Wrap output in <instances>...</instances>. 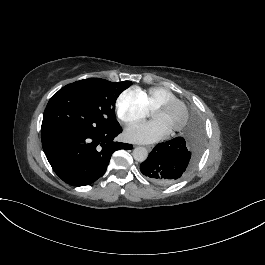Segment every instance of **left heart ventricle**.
<instances>
[{"instance_id": "obj_1", "label": "left heart ventricle", "mask_w": 265, "mask_h": 265, "mask_svg": "<svg viewBox=\"0 0 265 265\" xmlns=\"http://www.w3.org/2000/svg\"><path fill=\"white\" fill-rule=\"evenodd\" d=\"M182 115V109L178 104H173L164 109H160L151 115L153 121L159 122L163 127L169 130L176 124Z\"/></svg>"}]
</instances>
